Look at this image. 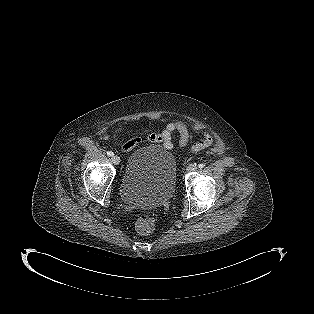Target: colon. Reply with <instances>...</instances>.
Segmentation results:
<instances>
[{
    "label": "colon",
    "instance_id": "1",
    "mask_svg": "<svg viewBox=\"0 0 314 314\" xmlns=\"http://www.w3.org/2000/svg\"><path fill=\"white\" fill-rule=\"evenodd\" d=\"M156 225L154 217L149 215H142L136 223L137 230L142 235H150L153 233Z\"/></svg>",
    "mask_w": 314,
    "mask_h": 314
}]
</instances>
